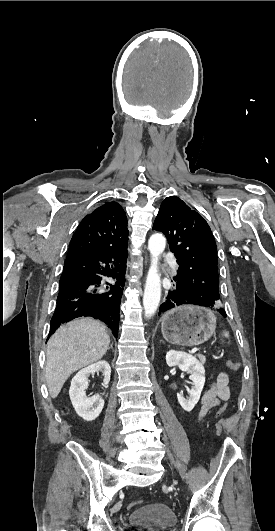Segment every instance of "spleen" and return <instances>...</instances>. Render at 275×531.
<instances>
[{"instance_id": "obj_1", "label": "spleen", "mask_w": 275, "mask_h": 531, "mask_svg": "<svg viewBox=\"0 0 275 531\" xmlns=\"http://www.w3.org/2000/svg\"><path fill=\"white\" fill-rule=\"evenodd\" d=\"M223 337H226V339H228V337H229V333H228V331H224V333H223Z\"/></svg>"}]
</instances>
